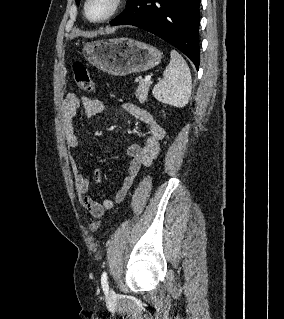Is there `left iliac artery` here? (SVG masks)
Segmentation results:
<instances>
[{"mask_svg":"<svg viewBox=\"0 0 284 319\" xmlns=\"http://www.w3.org/2000/svg\"><path fill=\"white\" fill-rule=\"evenodd\" d=\"M101 285L105 292H108L109 285L107 280V273L104 271L101 276Z\"/></svg>","mask_w":284,"mask_h":319,"instance_id":"obj_1","label":"left iliac artery"}]
</instances>
